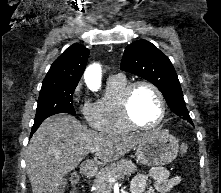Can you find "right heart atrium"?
Returning a JSON list of instances; mask_svg holds the SVG:
<instances>
[{"label": "right heart atrium", "instance_id": "right-heart-atrium-1", "mask_svg": "<svg viewBox=\"0 0 221 193\" xmlns=\"http://www.w3.org/2000/svg\"><path fill=\"white\" fill-rule=\"evenodd\" d=\"M80 93V87H77L73 92V98H77Z\"/></svg>", "mask_w": 221, "mask_h": 193}]
</instances>
